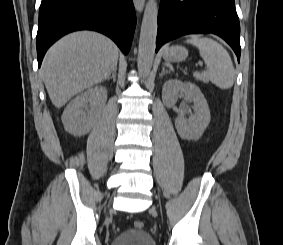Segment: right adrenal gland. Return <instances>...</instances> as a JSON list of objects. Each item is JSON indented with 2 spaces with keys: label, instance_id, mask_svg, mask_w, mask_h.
Listing matches in <instances>:
<instances>
[{
  "label": "right adrenal gland",
  "instance_id": "right-adrenal-gland-1",
  "mask_svg": "<svg viewBox=\"0 0 283 245\" xmlns=\"http://www.w3.org/2000/svg\"><path fill=\"white\" fill-rule=\"evenodd\" d=\"M116 73H117V68L114 69V71L112 72V75H110L107 80L109 81L110 79H113V81H116Z\"/></svg>",
  "mask_w": 283,
  "mask_h": 245
}]
</instances>
